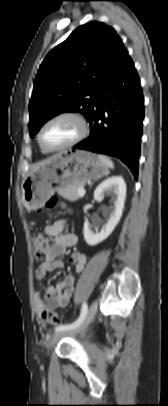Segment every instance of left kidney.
Masks as SVG:
<instances>
[{
  "mask_svg": "<svg viewBox=\"0 0 168 406\" xmlns=\"http://www.w3.org/2000/svg\"><path fill=\"white\" fill-rule=\"evenodd\" d=\"M104 195L112 197L113 208L109 211V220L102 226L100 232H94L92 228H96L97 223H84L83 235L86 243L90 246L97 245L104 241L114 230L124 209L126 198V184L122 176H112L104 180L94 191V199L101 201Z\"/></svg>",
  "mask_w": 168,
  "mask_h": 406,
  "instance_id": "left-kidney-1",
  "label": "left kidney"
}]
</instances>
